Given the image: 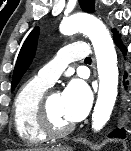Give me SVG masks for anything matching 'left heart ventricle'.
<instances>
[{"label":"left heart ventricle","mask_w":131,"mask_h":151,"mask_svg":"<svg viewBox=\"0 0 131 151\" xmlns=\"http://www.w3.org/2000/svg\"><path fill=\"white\" fill-rule=\"evenodd\" d=\"M48 107L52 123L56 127L62 128L72 124L64 114L62 96L60 93H55L50 97Z\"/></svg>","instance_id":"b2bd125f"}]
</instances>
